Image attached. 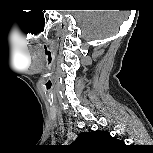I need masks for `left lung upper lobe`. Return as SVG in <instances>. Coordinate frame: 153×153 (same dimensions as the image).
<instances>
[{
    "label": "left lung upper lobe",
    "mask_w": 153,
    "mask_h": 153,
    "mask_svg": "<svg viewBox=\"0 0 153 153\" xmlns=\"http://www.w3.org/2000/svg\"><path fill=\"white\" fill-rule=\"evenodd\" d=\"M123 143L112 137L108 132H82L77 137L75 146L89 150H106L121 146Z\"/></svg>",
    "instance_id": "1"
}]
</instances>
